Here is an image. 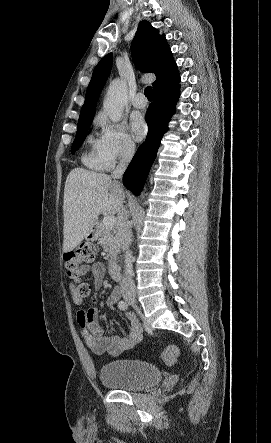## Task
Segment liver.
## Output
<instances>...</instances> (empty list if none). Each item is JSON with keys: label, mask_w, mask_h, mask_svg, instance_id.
Segmentation results:
<instances>
[{"label": "liver", "mask_w": 271, "mask_h": 443, "mask_svg": "<svg viewBox=\"0 0 271 443\" xmlns=\"http://www.w3.org/2000/svg\"><path fill=\"white\" fill-rule=\"evenodd\" d=\"M124 198L119 182L107 174L83 168L71 170L64 188L63 251L75 249L102 212L117 214L120 220Z\"/></svg>", "instance_id": "obj_1"}]
</instances>
